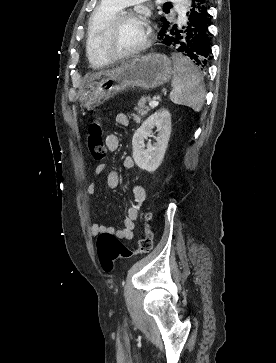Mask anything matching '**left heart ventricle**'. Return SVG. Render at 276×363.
<instances>
[{
	"instance_id": "b2bd125f",
	"label": "left heart ventricle",
	"mask_w": 276,
	"mask_h": 363,
	"mask_svg": "<svg viewBox=\"0 0 276 363\" xmlns=\"http://www.w3.org/2000/svg\"><path fill=\"white\" fill-rule=\"evenodd\" d=\"M145 35V27L137 19H128L107 38L106 44L113 53H123L138 46Z\"/></svg>"
}]
</instances>
